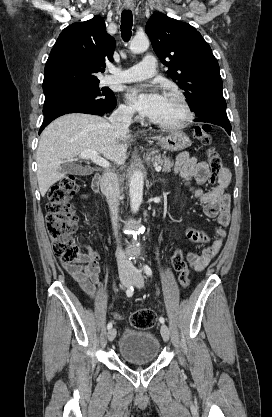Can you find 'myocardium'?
I'll use <instances>...</instances> for the list:
<instances>
[{
  "label": "myocardium",
  "mask_w": 272,
  "mask_h": 417,
  "mask_svg": "<svg viewBox=\"0 0 272 417\" xmlns=\"http://www.w3.org/2000/svg\"><path fill=\"white\" fill-rule=\"evenodd\" d=\"M166 96L173 97L179 101V103L181 104L183 108L184 116L181 120L174 122V123H160V122L153 121V124L159 127L160 129L168 130V131L179 130L189 125L191 121L193 120L194 113L186 95L180 90H171L167 92Z\"/></svg>",
  "instance_id": "obj_1"
}]
</instances>
